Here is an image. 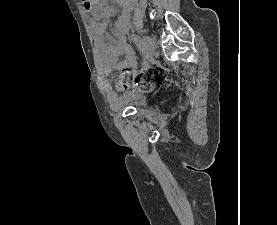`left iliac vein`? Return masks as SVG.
<instances>
[{"mask_svg":"<svg viewBox=\"0 0 277 225\" xmlns=\"http://www.w3.org/2000/svg\"><path fill=\"white\" fill-rule=\"evenodd\" d=\"M142 42L144 45V49L148 55V57H152L156 50V42L155 39L151 36L145 35L142 38Z\"/></svg>","mask_w":277,"mask_h":225,"instance_id":"left-iliac-vein-1","label":"left iliac vein"}]
</instances>
